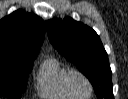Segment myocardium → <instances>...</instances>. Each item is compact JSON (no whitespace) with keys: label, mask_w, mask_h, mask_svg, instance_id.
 Listing matches in <instances>:
<instances>
[{"label":"myocardium","mask_w":128,"mask_h":99,"mask_svg":"<svg viewBox=\"0 0 128 99\" xmlns=\"http://www.w3.org/2000/svg\"><path fill=\"white\" fill-rule=\"evenodd\" d=\"M74 77H80L82 78L88 85L89 87V94L88 96L86 97H80L78 96L74 90H73V87H72V80ZM66 85H67V88L69 90V92L74 96V97H79V98H89L92 96L93 94V85L90 81V79L83 73L81 72L80 70H77V69H71L68 74H67V77H66Z\"/></svg>","instance_id":"obj_1"}]
</instances>
